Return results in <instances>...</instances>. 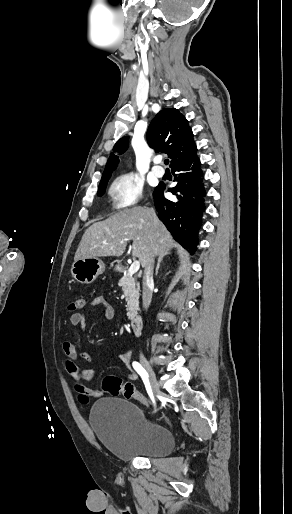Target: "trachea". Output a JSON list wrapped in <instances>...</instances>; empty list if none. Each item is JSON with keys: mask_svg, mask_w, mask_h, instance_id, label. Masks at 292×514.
<instances>
[{"mask_svg": "<svg viewBox=\"0 0 292 514\" xmlns=\"http://www.w3.org/2000/svg\"><path fill=\"white\" fill-rule=\"evenodd\" d=\"M164 163H165V165H168L169 164V160L165 159ZM166 170H169V169H166Z\"/></svg>", "mask_w": 292, "mask_h": 514, "instance_id": "1", "label": "trachea"}]
</instances>
